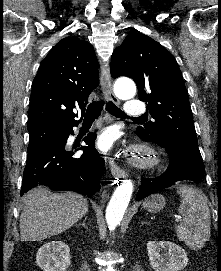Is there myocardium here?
Listing matches in <instances>:
<instances>
[{"mask_svg":"<svg viewBox=\"0 0 221 271\" xmlns=\"http://www.w3.org/2000/svg\"><path fill=\"white\" fill-rule=\"evenodd\" d=\"M156 145H136L134 148L136 149L135 154L136 155H141L142 157H135L130 165H123L121 168L124 170H145L147 167H150L152 170L157 169L160 167L162 163V159L158 158V153L161 151L156 150ZM147 161V163H145ZM137 164V165H135ZM146 164V166H145Z\"/></svg>","mask_w":221,"mask_h":271,"instance_id":"obj_1","label":"myocardium"}]
</instances>
